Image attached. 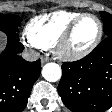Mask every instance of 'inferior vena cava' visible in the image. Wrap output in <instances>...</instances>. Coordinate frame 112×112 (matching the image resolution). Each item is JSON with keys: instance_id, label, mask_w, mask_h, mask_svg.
<instances>
[{"instance_id": "602c4592", "label": "inferior vena cava", "mask_w": 112, "mask_h": 112, "mask_svg": "<svg viewBox=\"0 0 112 112\" xmlns=\"http://www.w3.org/2000/svg\"><path fill=\"white\" fill-rule=\"evenodd\" d=\"M22 57L26 61H36L39 59L40 54L37 51L29 49L22 52Z\"/></svg>"}]
</instances>
